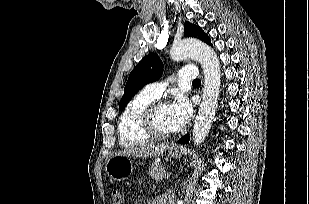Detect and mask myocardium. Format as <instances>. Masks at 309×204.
Here are the masks:
<instances>
[{
  "label": "myocardium",
  "instance_id": "obj_1",
  "mask_svg": "<svg viewBox=\"0 0 309 204\" xmlns=\"http://www.w3.org/2000/svg\"><path fill=\"white\" fill-rule=\"evenodd\" d=\"M168 105L165 101L162 100H154L149 103L140 113L139 116V126L144 134H146L149 138L154 140L165 139L170 136H173L177 130L171 132H163L160 131L155 124V115L157 110L162 107Z\"/></svg>",
  "mask_w": 309,
  "mask_h": 204
}]
</instances>
